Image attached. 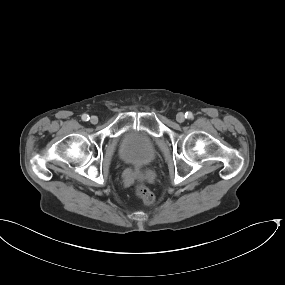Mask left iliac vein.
<instances>
[{
  "mask_svg": "<svg viewBox=\"0 0 285 285\" xmlns=\"http://www.w3.org/2000/svg\"><path fill=\"white\" fill-rule=\"evenodd\" d=\"M176 120H177V122H179V123L184 122V120H185L184 114H183V113H178V114L176 115Z\"/></svg>",
  "mask_w": 285,
  "mask_h": 285,
  "instance_id": "4c4485c4",
  "label": "left iliac vein"
}]
</instances>
